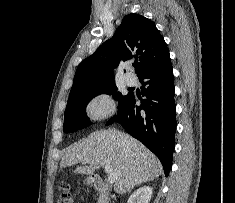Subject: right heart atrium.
Returning a JSON list of instances; mask_svg holds the SVG:
<instances>
[{
  "instance_id": "d8ad5b80",
  "label": "right heart atrium",
  "mask_w": 235,
  "mask_h": 203,
  "mask_svg": "<svg viewBox=\"0 0 235 203\" xmlns=\"http://www.w3.org/2000/svg\"><path fill=\"white\" fill-rule=\"evenodd\" d=\"M114 111V103L106 93H100L91 98L86 106L87 115L93 120L103 119Z\"/></svg>"
}]
</instances>
